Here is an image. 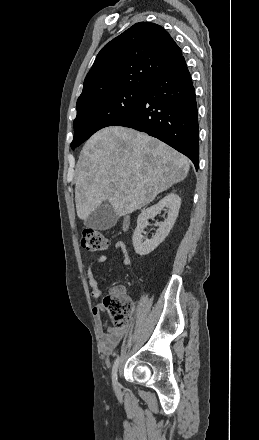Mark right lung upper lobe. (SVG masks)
<instances>
[{
  "label": "right lung upper lobe",
  "instance_id": "cb5924a9",
  "mask_svg": "<svg viewBox=\"0 0 259 440\" xmlns=\"http://www.w3.org/2000/svg\"><path fill=\"white\" fill-rule=\"evenodd\" d=\"M182 57L181 49L163 27L136 23L98 53L85 78L77 108L121 89L148 88Z\"/></svg>",
  "mask_w": 259,
  "mask_h": 440
}]
</instances>
